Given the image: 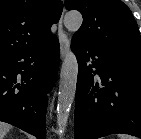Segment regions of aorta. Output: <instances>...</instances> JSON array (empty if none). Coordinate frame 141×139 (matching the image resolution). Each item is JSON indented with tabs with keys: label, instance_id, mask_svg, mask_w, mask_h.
Returning <instances> with one entry per match:
<instances>
[{
	"label": "aorta",
	"instance_id": "1",
	"mask_svg": "<svg viewBox=\"0 0 141 139\" xmlns=\"http://www.w3.org/2000/svg\"><path fill=\"white\" fill-rule=\"evenodd\" d=\"M83 22L82 14L78 11L67 12L64 16L66 29L75 33ZM78 76V62L75 54L69 50L64 58L59 83L57 101V124L64 130L67 126L69 113L74 102Z\"/></svg>",
	"mask_w": 141,
	"mask_h": 139
}]
</instances>
